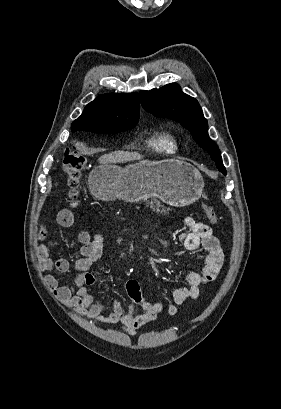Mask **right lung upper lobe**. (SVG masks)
I'll use <instances>...</instances> for the list:
<instances>
[{
  "mask_svg": "<svg viewBox=\"0 0 281 409\" xmlns=\"http://www.w3.org/2000/svg\"><path fill=\"white\" fill-rule=\"evenodd\" d=\"M139 98L137 93L99 95L89 103L76 119L71 130L82 127H125L138 123Z\"/></svg>",
  "mask_w": 281,
  "mask_h": 409,
  "instance_id": "obj_1",
  "label": "right lung upper lobe"
}]
</instances>
